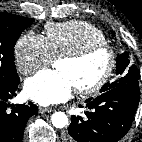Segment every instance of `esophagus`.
Segmentation results:
<instances>
[{
	"instance_id": "obj_1",
	"label": "esophagus",
	"mask_w": 142,
	"mask_h": 142,
	"mask_svg": "<svg viewBox=\"0 0 142 142\" xmlns=\"http://www.w3.org/2000/svg\"><path fill=\"white\" fill-rule=\"evenodd\" d=\"M52 109L50 108H44V107H39V113L44 114V113H50Z\"/></svg>"
}]
</instances>
